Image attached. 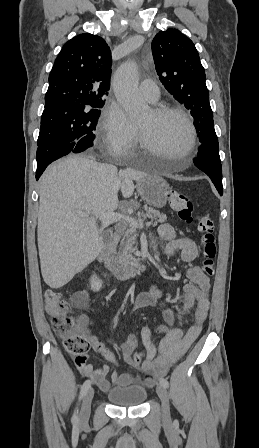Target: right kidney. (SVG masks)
Masks as SVG:
<instances>
[{
    "label": "right kidney",
    "mask_w": 259,
    "mask_h": 448,
    "mask_svg": "<svg viewBox=\"0 0 259 448\" xmlns=\"http://www.w3.org/2000/svg\"><path fill=\"white\" fill-rule=\"evenodd\" d=\"M102 288V282L101 280H98L97 276H92L91 278V290L93 292H99ZM89 296L87 292H76V294H73L71 298V304L74 306V308H87Z\"/></svg>",
    "instance_id": "right-kidney-1"
}]
</instances>
